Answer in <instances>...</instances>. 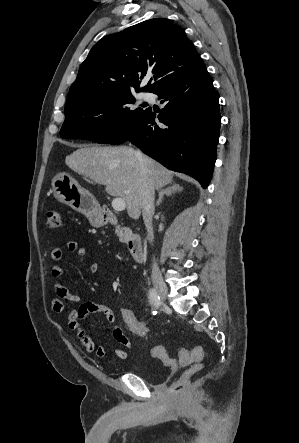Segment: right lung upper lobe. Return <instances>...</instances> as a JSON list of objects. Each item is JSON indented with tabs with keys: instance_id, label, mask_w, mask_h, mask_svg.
I'll use <instances>...</instances> for the list:
<instances>
[{
	"instance_id": "cb5924a9",
	"label": "right lung upper lobe",
	"mask_w": 299,
	"mask_h": 443,
	"mask_svg": "<svg viewBox=\"0 0 299 443\" xmlns=\"http://www.w3.org/2000/svg\"><path fill=\"white\" fill-rule=\"evenodd\" d=\"M205 67L185 32L165 18L150 19L98 41L82 63L66 106L103 96L155 92ZM146 74H153L143 88Z\"/></svg>"
}]
</instances>
